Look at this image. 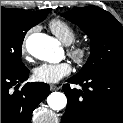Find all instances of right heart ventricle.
<instances>
[{
    "label": "right heart ventricle",
    "mask_w": 123,
    "mask_h": 123,
    "mask_svg": "<svg viewBox=\"0 0 123 123\" xmlns=\"http://www.w3.org/2000/svg\"><path fill=\"white\" fill-rule=\"evenodd\" d=\"M52 33L64 44L69 45L76 39V32L71 25L62 19H54L49 23Z\"/></svg>",
    "instance_id": "1"
}]
</instances>
